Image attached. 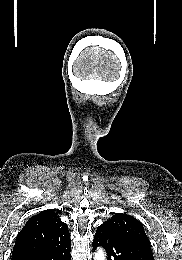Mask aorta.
I'll return each mask as SVG.
<instances>
[{
	"mask_svg": "<svg viewBox=\"0 0 182 260\" xmlns=\"http://www.w3.org/2000/svg\"><path fill=\"white\" fill-rule=\"evenodd\" d=\"M94 260H106V254L103 249H97L94 255Z\"/></svg>",
	"mask_w": 182,
	"mask_h": 260,
	"instance_id": "aorta-1",
	"label": "aorta"
}]
</instances>
